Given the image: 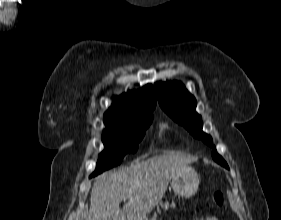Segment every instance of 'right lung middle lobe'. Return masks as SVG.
I'll list each match as a JSON object with an SVG mask.
<instances>
[{
	"instance_id": "obj_1",
	"label": "right lung middle lobe",
	"mask_w": 281,
	"mask_h": 220,
	"mask_svg": "<svg viewBox=\"0 0 281 220\" xmlns=\"http://www.w3.org/2000/svg\"><path fill=\"white\" fill-rule=\"evenodd\" d=\"M153 116H145L131 121L120 123L116 126H106L102 135L105 146L99 155L96 170L90 177L121 163L127 153H134L138 143L145 135V130L150 126Z\"/></svg>"
}]
</instances>
